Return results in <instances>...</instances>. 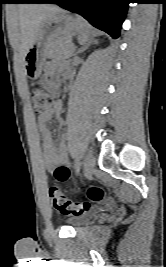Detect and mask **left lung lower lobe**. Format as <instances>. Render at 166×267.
I'll return each instance as SVG.
<instances>
[{
	"label": "left lung lower lobe",
	"instance_id": "1",
	"mask_svg": "<svg viewBox=\"0 0 166 267\" xmlns=\"http://www.w3.org/2000/svg\"><path fill=\"white\" fill-rule=\"evenodd\" d=\"M35 3H56L78 13L93 26L118 38L129 0H38Z\"/></svg>",
	"mask_w": 166,
	"mask_h": 267
}]
</instances>
